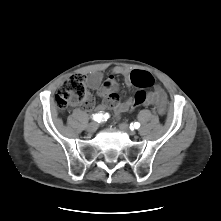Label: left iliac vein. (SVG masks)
Listing matches in <instances>:
<instances>
[{
	"label": "left iliac vein",
	"mask_w": 221,
	"mask_h": 221,
	"mask_svg": "<svg viewBox=\"0 0 221 221\" xmlns=\"http://www.w3.org/2000/svg\"><path fill=\"white\" fill-rule=\"evenodd\" d=\"M119 129L125 133H127L130 136L135 135V131L131 130L126 123L119 124Z\"/></svg>",
	"instance_id": "left-iliac-vein-1"
}]
</instances>
